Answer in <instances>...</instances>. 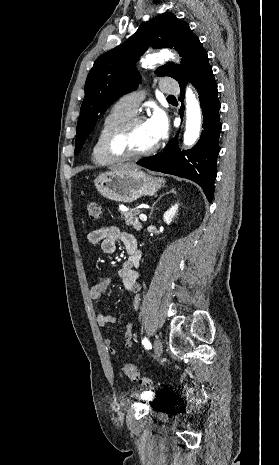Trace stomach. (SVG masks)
Masks as SVG:
<instances>
[{
  "label": "stomach",
  "instance_id": "0dacf381",
  "mask_svg": "<svg viewBox=\"0 0 279 465\" xmlns=\"http://www.w3.org/2000/svg\"><path fill=\"white\" fill-rule=\"evenodd\" d=\"M164 184L163 178L152 177L137 168L102 173L94 180V186L102 196L124 203L134 202L142 196H152Z\"/></svg>",
  "mask_w": 279,
  "mask_h": 465
}]
</instances>
